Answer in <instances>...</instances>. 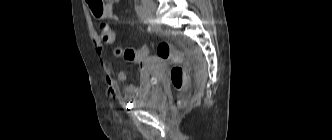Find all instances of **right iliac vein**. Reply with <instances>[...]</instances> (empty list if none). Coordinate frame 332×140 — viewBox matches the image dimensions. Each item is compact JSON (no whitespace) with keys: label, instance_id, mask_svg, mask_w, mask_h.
Returning a JSON list of instances; mask_svg holds the SVG:
<instances>
[{"label":"right iliac vein","instance_id":"63e3f726","mask_svg":"<svg viewBox=\"0 0 332 140\" xmlns=\"http://www.w3.org/2000/svg\"><path fill=\"white\" fill-rule=\"evenodd\" d=\"M142 6L148 17L153 18L156 11V5L152 0H141Z\"/></svg>","mask_w":332,"mask_h":140}]
</instances>
